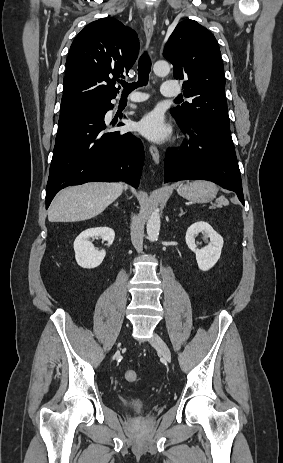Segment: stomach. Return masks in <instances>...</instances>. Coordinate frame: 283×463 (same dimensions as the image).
Wrapping results in <instances>:
<instances>
[{
    "label": "stomach",
    "instance_id": "1",
    "mask_svg": "<svg viewBox=\"0 0 283 463\" xmlns=\"http://www.w3.org/2000/svg\"><path fill=\"white\" fill-rule=\"evenodd\" d=\"M177 193L190 201L204 203L216 196L217 187L208 181H195L178 185Z\"/></svg>",
    "mask_w": 283,
    "mask_h": 463
}]
</instances>
